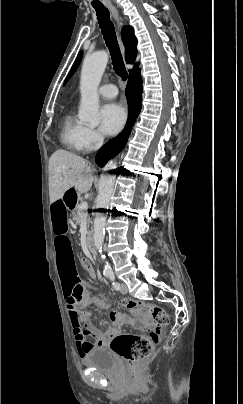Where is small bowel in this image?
<instances>
[{"label": "small bowel", "instance_id": "small-bowel-1", "mask_svg": "<svg viewBox=\"0 0 243 404\" xmlns=\"http://www.w3.org/2000/svg\"><path fill=\"white\" fill-rule=\"evenodd\" d=\"M50 221L67 311L73 327L78 354L83 358L89 350L107 345L113 337L119 334L121 317L119 313L113 311L111 313V324L96 327L91 323L90 315L87 311L78 310L79 305H88L90 298L86 293V287L80 282L75 268L73 250L68 236V208L63 195L56 197L51 202ZM89 275L94 278V271L90 270ZM86 336H92L94 342H88Z\"/></svg>", "mask_w": 243, "mask_h": 404}]
</instances>
